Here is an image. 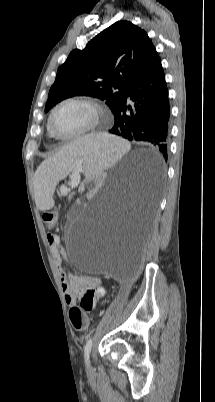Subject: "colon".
Returning <instances> with one entry per match:
<instances>
[{
	"instance_id": "1",
	"label": "colon",
	"mask_w": 215,
	"mask_h": 402,
	"mask_svg": "<svg viewBox=\"0 0 215 402\" xmlns=\"http://www.w3.org/2000/svg\"><path fill=\"white\" fill-rule=\"evenodd\" d=\"M44 221L49 228L54 227L56 220H57V213L56 212H47L43 215ZM81 307L85 310H90L93 307L92 302V293H86L83 298L81 299ZM70 321L73 327L78 330L82 331L85 330L88 326V319L86 315L83 313L82 309L79 307H72L69 311Z\"/></svg>"
}]
</instances>
